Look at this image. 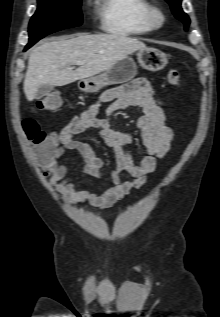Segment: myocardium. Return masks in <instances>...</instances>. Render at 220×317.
<instances>
[{"label": "myocardium", "instance_id": "myocardium-1", "mask_svg": "<svg viewBox=\"0 0 220 317\" xmlns=\"http://www.w3.org/2000/svg\"><path fill=\"white\" fill-rule=\"evenodd\" d=\"M148 18L153 28H159L165 22V14L163 10L157 6H151L148 12Z\"/></svg>", "mask_w": 220, "mask_h": 317}]
</instances>
